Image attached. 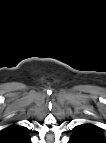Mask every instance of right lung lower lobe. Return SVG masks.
I'll return each mask as SVG.
<instances>
[{"label":"right lung lower lobe","instance_id":"obj_1","mask_svg":"<svg viewBox=\"0 0 106 143\" xmlns=\"http://www.w3.org/2000/svg\"><path fill=\"white\" fill-rule=\"evenodd\" d=\"M25 143H31L30 138H28V139L25 141Z\"/></svg>","mask_w":106,"mask_h":143}]
</instances>
